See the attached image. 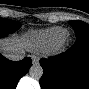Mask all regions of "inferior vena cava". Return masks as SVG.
Segmentation results:
<instances>
[{"label": "inferior vena cava", "instance_id": "obj_1", "mask_svg": "<svg viewBox=\"0 0 89 89\" xmlns=\"http://www.w3.org/2000/svg\"><path fill=\"white\" fill-rule=\"evenodd\" d=\"M7 58L10 60L18 61L24 58L25 52L24 50L18 48V47H13L7 50L6 54Z\"/></svg>", "mask_w": 89, "mask_h": 89}]
</instances>
